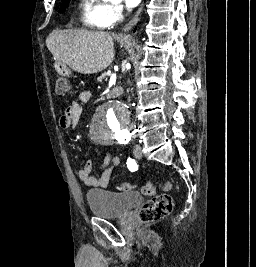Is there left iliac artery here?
Instances as JSON below:
<instances>
[{
    "instance_id": "1",
    "label": "left iliac artery",
    "mask_w": 256,
    "mask_h": 267,
    "mask_svg": "<svg viewBox=\"0 0 256 267\" xmlns=\"http://www.w3.org/2000/svg\"><path fill=\"white\" fill-rule=\"evenodd\" d=\"M119 143H120V144H124L123 141H120ZM127 167H128V169H129L130 171H131V170H136V169L138 168L137 163L135 162V160H134V159H131V158H128V159H127Z\"/></svg>"
}]
</instances>
